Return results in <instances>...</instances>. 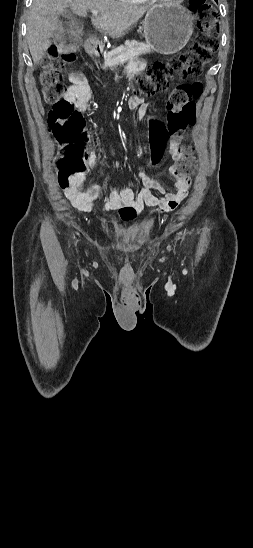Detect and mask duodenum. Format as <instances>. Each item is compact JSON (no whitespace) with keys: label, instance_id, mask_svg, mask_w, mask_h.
I'll list each match as a JSON object with an SVG mask.
<instances>
[{"label":"duodenum","instance_id":"obj_1","mask_svg":"<svg viewBox=\"0 0 253 548\" xmlns=\"http://www.w3.org/2000/svg\"><path fill=\"white\" fill-rule=\"evenodd\" d=\"M87 50L89 52V54L93 57H96L99 55L100 53V49L98 47V45L94 42V41H90L88 44H87Z\"/></svg>","mask_w":253,"mask_h":548}]
</instances>
